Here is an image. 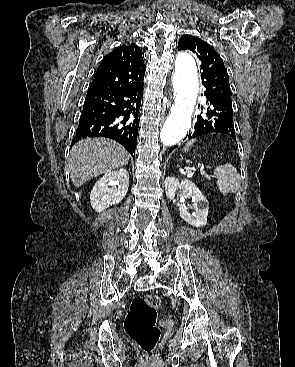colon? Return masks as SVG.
<instances>
[{
	"label": "colon",
	"mask_w": 295,
	"mask_h": 367,
	"mask_svg": "<svg viewBox=\"0 0 295 367\" xmlns=\"http://www.w3.org/2000/svg\"><path fill=\"white\" fill-rule=\"evenodd\" d=\"M160 298L153 293L134 298L125 318L127 335L140 347L146 358H151L160 340L157 326V309Z\"/></svg>",
	"instance_id": "1"
}]
</instances>
